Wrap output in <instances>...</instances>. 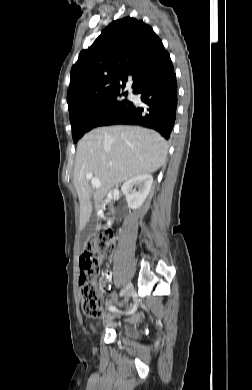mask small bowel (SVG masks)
Masks as SVG:
<instances>
[{
  "instance_id": "c3829d8e",
  "label": "small bowel",
  "mask_w": 252,
  "mask_h": 390,
  "mask_svg": "<svg viewBox=\"0 0 252 390\" xmlns=\"http://www.w3.org/2000/svg\"><path fill=\"white\" fill-rule=\"evenodd\" d=\"M114 303H119L120 305L123 304V303L119 302L118 296H117L116 293H112V294H110V295L107 297V299L105 300V306H106V307H110V306H112V304H114ZM138 317H139L138 314H135L134 316H130V319H131L132 321H136V320L138 319Z\"/></svg>"
}]
</instances>
